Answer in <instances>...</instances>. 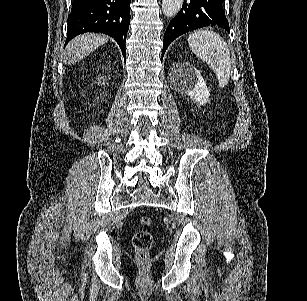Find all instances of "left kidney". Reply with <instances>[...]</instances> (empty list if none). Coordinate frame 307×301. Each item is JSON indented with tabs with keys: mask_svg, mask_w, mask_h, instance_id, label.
Returning <instances> with one entry per match:
<instances>
[{
	"mask_svg": "<svg viewBox=\"0 0 307 301\" xmlns=\"http://www.w3.org/2000/svg\"><path fill=\"white\" fill-rule=\"evenodd\" d=\"M173 66L175 72L171 76H177V78L172 80V86H176V90L188 94L197 104H206L209 100L210 90L202 78L200 70H197L190 62H179Z\"/></svg>",
	"mask_w": 307,
	"mask_h": 301,
	"instance_id": "obj_1",
	"label": "left kidney"
}]
</instances>
